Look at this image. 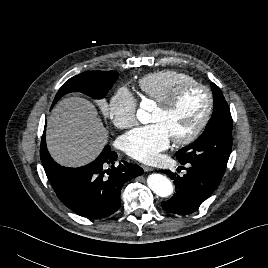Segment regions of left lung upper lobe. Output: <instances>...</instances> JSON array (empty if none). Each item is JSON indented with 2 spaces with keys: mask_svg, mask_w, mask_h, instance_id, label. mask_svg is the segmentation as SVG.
Masks as SVG:
<instances>
[{
  "mask_svg": "<svg viewBox=\"0 0 268 268\" xmlns=\"http://www.w3.org/2000/svg\"><path fill=\"white\" fill-rule=\"evenodd\" d=\"M214 109L203 134L177 152L181 164H201L224 174L232 149V117L220 88L211 83Z\"/></svg>",
  "mask_w": 268,
  "mask_h": 268,
  "instance_id": "5c2ea615",
  "label": "left lung upper lobe"
}]
</instances>
